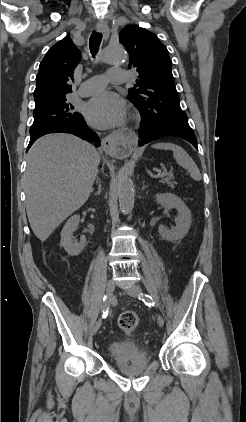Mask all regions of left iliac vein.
<instances>
[{"label":"left iliac vein","instance_id":"obj_1","mask_svg":"<svg viewBox=\"0 0 246 422\" xmlns=\"http://www.w3.org/2000/svg\"><path fill=\"white\" fill-rule=\"evenodd\" d=\"M126 293L133 297H139L142 294L141 288L137 285H133L126 289ZM157 323L160 327L164 325V319L161 315L157 317Z\"/></svg>","mask_w":246,"mask_h":422}]
</instances>
